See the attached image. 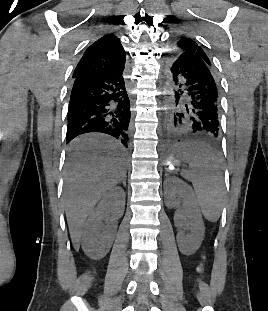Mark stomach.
I'll return each instance as SVG.
<instances>
[{
    "instance_id": "obj_1",
    "label": "stomach",
    "mask_w": 268,
    "mask_h": 311,
    "mask_svg": "<svg viewBox=\"0 0 268 311\" xmlns=\"http://www.w3.org/2000/svg\"><path fill=\"white\" fill-rule=\"evenodd\" d=\"M189 154L188 145L180 146L179 148L175 149L171 154L169 160L173 165H179L181 161H184V157H187Z\"/></svg>"
}]
</instances>
